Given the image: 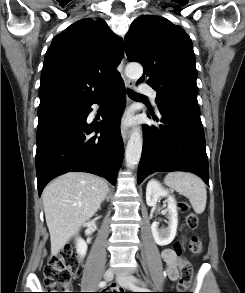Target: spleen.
I'll return each instance as SVG.
<instances>
[{
	"label": "spleen",
	"instance_id": "3e777b00",
	"mask_svg": "<svg viewBox=\"0 0 245 293\" xmlns=\"http://www.w3.org/2000/svg\"><path fill=\"white\" fill-rule=\"evenodd\" d=\"M167 186L187 197L197 214L204 212L207 192L204 182L197 176L187 172H171L166 175Z\"/></svg>",
	"mask_w": 245,
	"mask_h": 293
}]
</instances>
